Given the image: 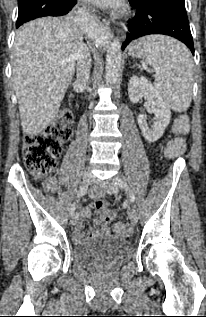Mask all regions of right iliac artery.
Returning <instances> with one entry per match:
<instances>
[{
	"mask_svg": "<svg viewBox=\"0 0 206 317\" xmlns=\"http://www.w3.org/2000/svg\"><path fill=\"white\" fill-rule=\"evenodd\" d=\"M88 191V186H82L78 193H77V198H81L82 196H84ZM75 202L71 205L70 207V216H73L75 214Z\"/></svg>",
	"mask_w": 206,
	"mask_h": 317,
	"instance_id": "right-iliac-artery-1",
	"label": "right iliac artery"
}]
</instances>
